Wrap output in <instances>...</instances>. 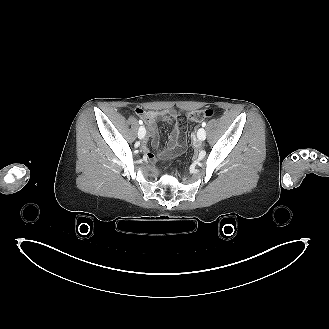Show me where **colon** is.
<instances>
[{
  "label": "colon",
  "instance_id": "colon-1",
  "mask_svg": "<svg viewBox=\"0 0 329 329\" xmlns=\"http://www.w3.org/2000/svg\"><path fill=\"white\" fill-rule=\"evenodd\" d=\"M185 113H186V120L192 122H200L204 119H209L213 116V111L209 109L194 110Z\"/></svg>",
  "mask_w": 329,
  "mask_h": 329
}]
</instances>
